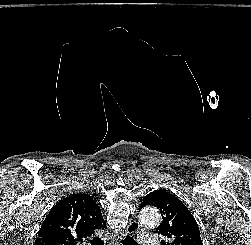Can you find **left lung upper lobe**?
I'll list each match as a JSON object with an SVG mask.
<instances>
[{
    "mask_svg": "<svg viewBox=\"0 0 251 245\" xmlns=\"http://www.w3.org/2000/svg\"><path fill=\"white\" fill-rule=\"evenodd\" d=\"M147 205L160 209L163 221L154 233L163 238L161 245H202L193 215L177 197L167 191L156 190L143 198L140 209Z\"/></svg>",
    "mask_w": 251,
    "mask_h": 245,
    "instance_id": "5c2ea615",
    "label": "left lung upper lobe"
}]
</instances>
